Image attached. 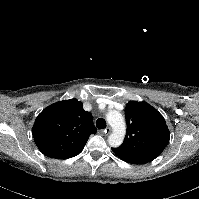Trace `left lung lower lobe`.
I'll use <instances>...</instances> for the list:
<instances>
[{
	"instance_id": "0a47b994",
	"label": "left lung lower lobe",
	"mask_w": 199,
	"mask_h": 199,
	"mask_svg": "<svg viewBox=\"0 0 199 199\" xmlns=\"http://www.w3.org/2000/svg\"><path fill=\"white\" fill-rule=\"evenodd\" d=\"M119 158L122 159V160H124V161H126V162H128V163H132V164H142V163L136 162V161H134V160H130V159H126V158H121V157H119Z\"/></svg>"
}]
</instances>
